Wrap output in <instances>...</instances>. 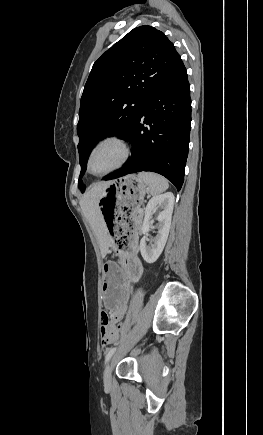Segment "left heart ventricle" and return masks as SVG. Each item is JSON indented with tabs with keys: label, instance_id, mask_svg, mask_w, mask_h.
Segmentation results:
<instances>
[{
	"label": "left heart ventricle",
	"instance_id": "1",
	"mask_svg": "<svg viewBox=\"0 0 263 435\" xmlns=\"http://www.w3.org/2000/svg\"><path fill=\"white\" fill-rule=\"evenodd\" d=\"M121 158L122 150L118 145L114 143L104 144L94 152L90 169L95 174L103 173L117 165Z\"/></svg>",
	"mask_w": 263,
	"mask_h": 435
}]
</instances>
